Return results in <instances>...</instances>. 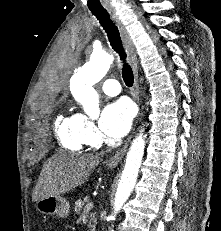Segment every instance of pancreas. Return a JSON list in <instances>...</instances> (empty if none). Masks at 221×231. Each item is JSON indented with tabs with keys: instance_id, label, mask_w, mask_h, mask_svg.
Returning <instances> with one entry per match:
<instances>
[{
	"instance_id": "obj_1",
	"label": "pancreas",
	"mask_w": 221,
	"mask_h": 231,
	"mask_svg": "<svg viewBox=\"0 0 221 231\" xmlns=\"http://www.w3.org/2000/svg\"><path fill=\"white\" fill-rule=\"evenodd\" d=\"M89 202L88 197L85 198H79L78 200H76L75 205H74V210L76 212V214H80L81 211L84 209V207L86 206V203ZM90 222H89V231H95V224H91V222L96 223V219L94 217L93 214H91L90 216Z\"/></svg>"
}]
</instances>
